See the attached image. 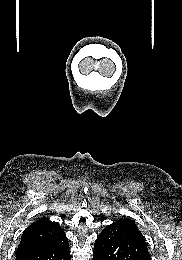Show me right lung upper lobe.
<instances>
[{"label":"right lung upper lobe","instance_id":"1","mask_svg":"<svg viewBox=\"0 0 182 260\" xmlns=\"http://www.w3.org/2000/svg\"><path fill=\"white\" fill-rule=\"evenodd\" d=\"M65 240H67V237L59 224L43 218L33 222L23 232L21 242L17 248V254L55 245Z\"/></svg>","mask_w":182,"mask_h":260}]
</instances>
